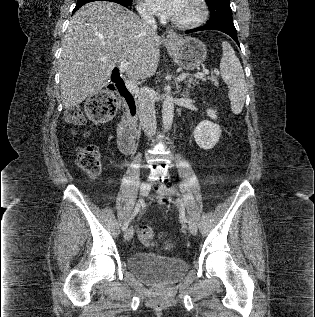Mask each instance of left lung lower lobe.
Masks as SVG:
<instances>
[{
    "label": "left lung lower lobe",
    "mask_w": 315,
    "mask_h": 317,
    "mask_svg": "<svg viewBox=\"0 0 315 317\" xmlns=\"http://www.w3.org/2000/svg\"><path fill=\"white\" fill-rule=\"evenodd\" d=\"M203 30H218V31L224 32L228 34L229 36H231L233 40L239 45L237 32L233 23H222V24L214 25L208 22L206 25L202 27L187 30L185 33H192V32L203 31Z\"/></svg>",
    "instance_id": "1"
}]
</instances>
